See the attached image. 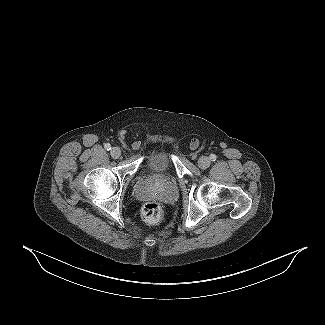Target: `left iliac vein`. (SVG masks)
Wrapping results in <instances>:
<instances>
[{
	"label": "left iliac vein",
	"mask_w": 325,
	"mask_h": 325,
	"mask_svg": "<svg viewBox=\"0 0 325 325\" xmlns=\"http://www.w3.org/2000/svg\"><path fill=\"white\" fill-rule=\"evenodd\" d=\"M211 164V161L209 159V157H206V156H202L199 158L198 160V166L201 168V169H206L210 166Z\"/></svg>",
	"instance_id": "obj_1"
}]
</instances>
